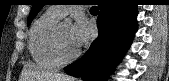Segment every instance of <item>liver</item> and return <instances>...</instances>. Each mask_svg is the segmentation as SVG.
Returning <instances> with one entry per match:
<instances>
[{"label": "liver", "instance_id": "obj_1", "mask_svg": "<svg viewBox=\"0 0 169 81\" xmlns=\"http://www.w3.org/2000/svg\"><path fill=\"white\" fill-rule=\"evenodd\" d=\"M24 75V79L27 81H73L70 76L56 72L40 71L35 66H26Z\"/></svg>", "mask_w": 169, "mask_h": 81}]
</instances>
